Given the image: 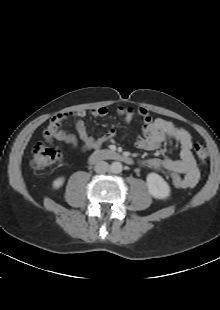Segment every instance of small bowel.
I'll return each instance as SVG.
<instances>
[{"label": "small bowel", "mask_w": 220, "mask_h": 310, "mask_svg": "<svg viewBox=\"0 0 220 310\" xmlns=\"http://www.w3.org/2000/svg\"><path fill=\"white\" fill-rule=\"evenodd\" d=\"M117 113L123 117L125 122H129L135 114L142 118L143 130L135 142L136 147L153 151L158 149L166 139H172L179 144V159L151 158L144 162L145 166L167 174L177 188H191L198 183L200 172L192 152V138L187 130L170 121L160 118L154 119L145 108L120 107L117 109ZM86 114L85 110L56 114L43 131L44 139L47 142L57 140L71 147H77L79 143L77 136L65 132L61 127L63 121L72 117L77 118L75 127L81 141L80 148L82 151L98 149L115 138L116 129L114 128L109 129L99 138L89 135L84 120ZM91 115L94 117H105L108 115V110L104 107L94 108L91 110Z\"/></svg>", "instance_id": "small-bowel-1"}]
</instances>
